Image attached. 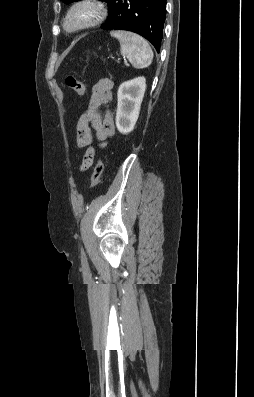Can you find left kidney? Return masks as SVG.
I'll return each instance as SVG.
<instances>
[{
    "instance_id": "5707ae66",
    "label": "left kidney",
    "mask_w": 254,
    "mask_h": 397,
    "mask_svg": "<svg viewBox=\"0 0 254 397\" xmlns=\"http://www.w3.org/2000/svg\"><path fill=\"white\" fill-rule=\"evenodd\" d=\"M146 89V79L137 77L122 83L117 92L116 127L126 135L130 133L139 117L141 103Z\"/></svg>"
}]
</instances>
